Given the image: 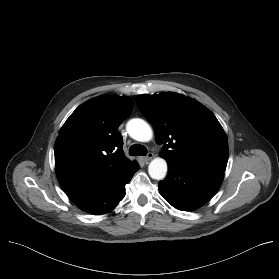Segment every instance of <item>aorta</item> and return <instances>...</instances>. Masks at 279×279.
<instances>
[{"label": "aorta", "instance_id": "aorta-1", "mask_svg": "<svg viewBox=\"0 0 279 279\" xmlns=\"http://www.w3.org/2000/svg\"><path fill=\"white\" fill-rule=\"evenodd\" d=\"M127 132L131 138L140 142H148L153 137L149 124L140 118H134L127 122ZM167 162L164 158L153 159L148 166V173L152 179L162 180L167 174Z\"/></svg>", "mask_w": 279, "mask_h": 279}]
</instances>
